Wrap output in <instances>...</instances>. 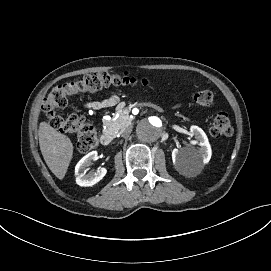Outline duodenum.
<instances>
[{
	"label": "duodenum",
	"mask_w": 271,
	"mask_h": 271,
	"mask_svg": "<svg viewBox=\"0 0 271 271\" xmlns=\"http://www.w3.org/2000/svg\"><path fill=\"white\" fill-rule=\"evenodd\" d=\"M114 135L111 131H103L100 136V141L103 145H109L113 141Z\"/></svg>",
	"instance_id": "duodenum-1"
}]
</instances>
